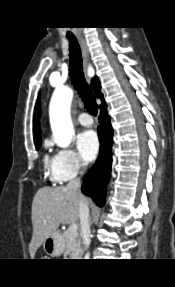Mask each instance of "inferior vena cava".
<instances>
[{"label": "inferior vena cava", "mask_w": 175, "mask_h": 287, "mask_svg": "<svg viewBox=\"0 0 175 287\" xmlns=\"http://www.w3.org/2000/svg\"><path fill=\"white\" fill-rule=\"evenodd\" d=\"M81 181L80 178L69 181L67 188L80 193ZM79 218H80V231L83 243L86 248L90 245V225H89V208L85 201L79 197ZM89 253L85 255V259H89Z\"/></svg>", "instance_id": "1"}]
</instances>
